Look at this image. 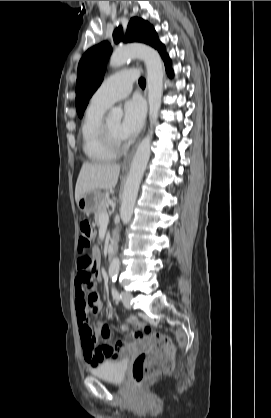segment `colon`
<instances>
[{"mask_svg": "<svg viewBox=\"0 0 271 418\" xmlns=\"http://www.w3.org/2000/svg\"><path fill=\"white\" fill-rule=\"evenodd\" d=\"M79 245L81 256L88 255L95 232L91 223L86 219L79 222ZM92 258V257H91ZM128 324L136 327L133 336L137 338H150L149 351L138 355L132 364V378L136 386H141L151 377L169 371L174 366V348L170 340L162 334H152L150 327L140 323L136 318L130 317ZM85 333H90L89 329Z\"/></svg>", "mask_w": 271, "mask_h": 418, "instance_id": "1", "label": "colon"}]
</instances>
